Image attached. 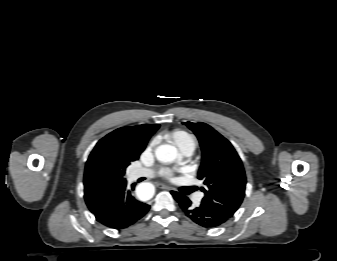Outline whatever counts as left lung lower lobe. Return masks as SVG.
Segmentation results:
<instances>
[{
    "label": "left lung lower lobe",
    "instance_id": "0a47b994",
    "mask_svg": "<svg viewBox=\"0 0 337 261\" xmlns=\"http://www.w3.org/2000/svg\"><path fill=\"white\" fill-rule=\"evenodd\" d=\"M172 195L179 203L184 214L204 228H215L229 220L225 214L208 204L201 203L198 207H193L186 196L175 191H172Z\"/></svg>",
    "mask_w": 337,
    "mask_h": 261
}]
</instances>
